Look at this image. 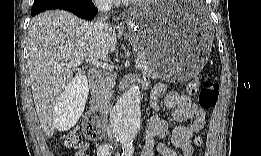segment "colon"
Here are the masks:
<instances>
[{"instance_id": "1", "label": "colon", "mask_w": 261, "mask_h": 156, "mask_svg": "<svg viewBox=\"0 0 261 156\" xmlns=\"http://www.w3.org/2000/svg\"><path fill=\"white\" fill-rule=\"evenodd\" d=\"M188 93L192 96L198 95V102L203 109H212L218 100V84L214 81H206L201 86L197 79H192L187 86ZM85 135L89 138H100L104 134V128L96 118H90L84 129ZM61 140L66 147L79 149L83 146V136L79 128H72L66 131ZM203 144L201 136L194 139V146L200 148Z\"/></svg>"}]
</instances>
